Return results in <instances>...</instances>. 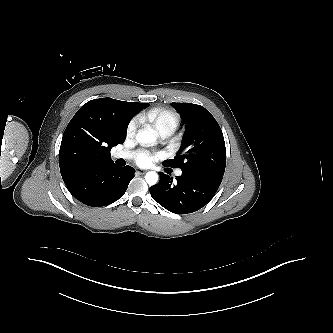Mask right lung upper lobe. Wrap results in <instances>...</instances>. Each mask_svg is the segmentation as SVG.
<instances>
[{"label": "right lung upper lobe", "instance_id": "cb5924a9", "mask_svg": "<svg viewBox=\"0 0 333 333\" xmlns=\"http://www.w3.org/2000/svg\"><path fill=\"white\" fill-rule=\"evenodd\" d=\"M148 106L112 98L84 104L69 122L61 141L59 167L64 183L90 167L113 163L111 148L125 141L130 120Z\"/></svg>", "mask_w": 333, "mask_h": 333}]
</instances>
